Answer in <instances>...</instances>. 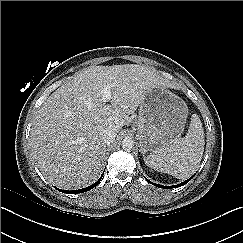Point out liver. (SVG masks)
Returning a JSON list of instances; mask_svg holds the SVG:
<instances>
[{"label": "liver", "mask_w": 243, "mask_h": 243, "mask_svg": "<svg viewBox=\"0 0 243 243\" xmlns=\"http://www.w3.org/2000/svg\"><path fill=\"white\" fill-rule=\"evenodd\" d=\"M112 84L110 104L101 91ZM155 87L176 88L154 68L137 64L90 66L53 92L39 108L30 149L43 176L63 189L94 183L102 170L108 127L122 129Z\"/></svg>", "instance_id": "1"}]
</instances>
